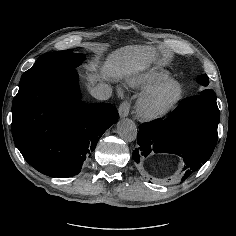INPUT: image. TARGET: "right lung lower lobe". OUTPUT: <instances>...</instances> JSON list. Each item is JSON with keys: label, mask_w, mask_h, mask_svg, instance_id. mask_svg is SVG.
I'll use <instances>...</instances> for the list:
<instances>
[{"label": "right lung lower lobe", "mask_w": 236, "mask_h": 236, "mask_svg": "<svg viewBox=\"0 0 236 236\" xmlns=\"http://www.w3.org/2000/svg\"><path fill=\"white\" fill-rule=\"evenodd\" d=\"M109 103L81 101L75 68L19 87L12 135L25 160L50 177L77 175L102 134L118 120Z\"/></svg>", "instance_id": "98d812e1"}]
</instances>
